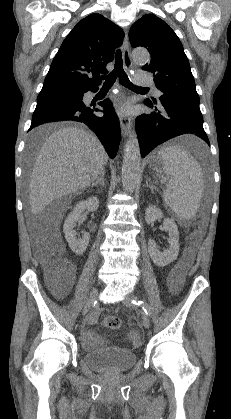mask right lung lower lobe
Returning a JSON list of instances; mask_svg holds the SVG:
<instances>
[{
  "label": "right lung lower lobe",
  "instance_id": "1",
  "mask_svg": "<svg viewBox=\"0 0 231 419\" xmlns=\"http://www.w3.org/2000/svg\"><path fill=\"white\" fill-rule=\"evenodd\" d=\"M98 87L82 88L76 98H53L38 101L32 116V128L47 122L74 120L84 122L98 136L108 155L114 158L120 143V124L109 100L99 103L104 109V116L94 113L100 111L95 105L85 104L83 94L87 91L96 92Z\"/></svg>",
  "mask_w": 231,
  "mask_h": 419
}]
</instances>
